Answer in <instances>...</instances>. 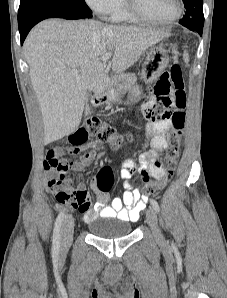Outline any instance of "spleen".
Masks as SVG:
<instances>
[{"label":"spleen","mask_w":227,"mask_h":298,"mask_svg":"<svg viewBox=\"0 0 227 298\" xmlns=\"http://www.w3.org/2000/svg\"><path fill=\"white\" fill-rule=\"evenodd\" d=\"M183 59H184L185 62L189 61V55H188L187 51H184Z\"/></svg>","instance_id":"1"}]
</instances>
